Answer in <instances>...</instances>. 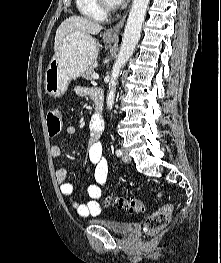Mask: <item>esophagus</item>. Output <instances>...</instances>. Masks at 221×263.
Here are the masks:
<instances>
[{
	"label": "esophagus",
	"mask_w": 221,
	"mask_h": 263,
	"mask_svg": "<svg viewBox=\"0 0 221 263\" xmlns=\"http://www.w3.org/2000/svg\"><path fill=\"white\" fill-rule=\"evenodd\" d=\"M126 16H127V12L123 15V17L120 19V21L115 26H113L112 28L106 31L105 33L106 36L110 38H114V39L118 38L119 33L125 23Z\"/></svg>",
	"instance_id": "34e87169"
}]
</instances>
